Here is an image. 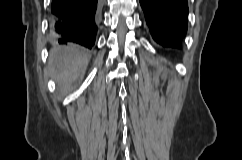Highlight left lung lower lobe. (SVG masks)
<instances>
[{
    "instance_id": "1",
    "label": "left lung lower lobe",
    "mask_w": 242,
    "mask_h": 160,
    "mask_svg": "<svg viewBox=\"0 0 242 160\" xmlns=\"http://www.w3.org/2000/svg\"><path fill=\"white\" fill-rule=\"evenodd\" d=\"M147 25L155 41L180 47L187 32V0H140Z\"/></svg>"
}]
</instances>
